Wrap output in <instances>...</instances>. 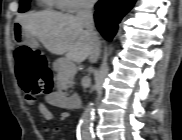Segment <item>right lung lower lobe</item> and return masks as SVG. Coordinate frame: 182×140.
<instances>
[{
	"instance_id": "right-lung-lower-lobe-1",
	"label": "right lung lower lobe",
	"mask_w": 182,
	"mask_h": 140,
	"mask_svg": "<svg viewBox=\"0 0 182 140\" xmlns=\"http://www.w3.org/2000/svg\"><path fill=\"white\" fill-rule=\"evenodd\" d=\"M136 0H100L95 8V23L105 39L111 41L118 24L133 7Z\"/></svg>"
}]
</instances>
